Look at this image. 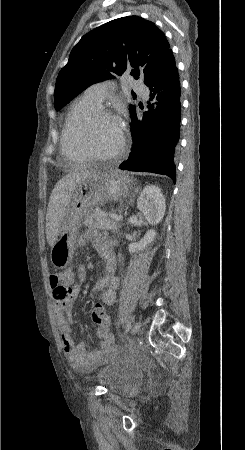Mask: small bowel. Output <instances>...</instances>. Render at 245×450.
<instances>
[{
    "mask_svg": "<svg viewBox=\"0 0 245 450\" xmlns=\"http://www.w3.org/2000/svg\"><path fill=\"white\" fill-rule=\"evenodd\" d=\"M80 246L92 244L99 256L105 261L106 269L103 276L95 283L94 291L100 295L102 303L110 306L115 301V292L119 286V278L115 275V242L107 234L94 231L82 233L77 240ZM87 278L84 267H79L75 276L72 272L51 274L49 277L52 299L54 303V318L57 323L61 344L72 366L81 372L91 370L101 357L112 347L114 337L110 326H99L97 335L102 342L99 348L86 350L84 344L76 345L72 337L71 317L76 299L79 296L80 284ZM68 282V283H65Z\"/></svg>",
    "mask_w": 245,
    "mask_h": 450,
    "instance_id": "small-bowel-1",
    "label": "small bowel"
}]
</instances>
